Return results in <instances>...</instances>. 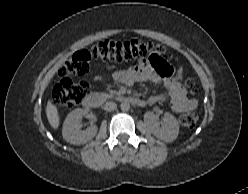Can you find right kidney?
I'll return each instance as SVG.
<instances>
[{"instance_id": "ca27d5eb", "label": "right kidney", "mask_w": 248, "mask_h": 194, "mask_svg": "<svg viewBox=\"0 0 248 194\" xmlns=\"http://www.w3.org/2000/svg\"><path fill=\"white\" fill-rule=\"evenodd\" d=\"M87 114L88 110L78 108L67 115L62 129V136L65 141L73 145H81L95 137L98 131L97 126L92 125L86 130H81V120Z\"/></svg>"}]
</instances>
